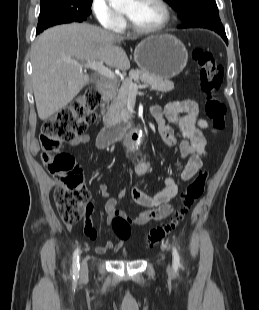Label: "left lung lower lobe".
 <instances>
[{
    "mask_svg": "<svg viewBox=\"0 0 259 310\" xmlns=\"http://www.w3.org/2000/svg\"><path fill=\"white\" fill-rule=\"evenodd\" d=\"M181 28H190V27H184V26H180ZM216 33H218L223 39L224 41L228 44V39L226 37V33L225 31H215Z\"/></svg>",
    "mask_w": 259,
    "mask_h": 310,
    "instance_id": "0a47b994",
    "label": "left lung lower lobe"
}]
</instances>
